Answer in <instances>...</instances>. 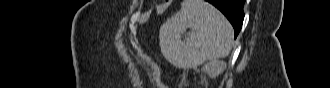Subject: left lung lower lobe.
<instances>
[{"mask_svg":"<svg viewBox=\"0 0 330 88\" xmlns=\"http://www.w3.org/2000/svg\"><path fill=\"white\" fill-rule=\"evenodd\" d=\"M218 8L230 21L234 28L235 38L239 34L243 19V6L245 0H206Z\"/></svg>","mask_w":330,"mask_h":88,"instance_id":"left-lung-lower-lobe-1","label":"left lung lower lobe"}]
</instances>
